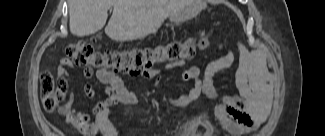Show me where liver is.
I'll use <instances>...</instances> for the list:
<instances>
[{"mask_svg": "<svg viewBox=\"0 0 325 136\" xmlns=\"http://www.w3.org/2000/svg\"><path fill=\"white\" fill-rule=\"evenodd\" d=\"M191 3V0H70L69 28L79 37L95 34L105 26L108 10L113 7L106 35L118 42L142 39L156 33L167 17L184 11Z\"/></svg>", "mask_w": 325, "mask_h": 136, "instance_id": "1", "label": "liver"}]
</instances>
